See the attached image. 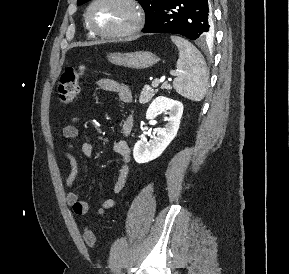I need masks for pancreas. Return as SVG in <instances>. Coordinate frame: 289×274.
Masks as SVG:
<instances>
[{"mask_svg": "<svg viewBox=\"0 0 289 274\" xmlns=\"http://www.w3.org/2000/svg\"><path fill=\"white\" fill-rule=\"evenodd\" d=\"M161 89H171V86L168 83H164L161 86ZM154 95H155L154 89L149 85H145L140 93L139 102L141 104H146L152 99Z\"/></svg>", "mask_w": 289, "mask_h": 274, "instance_id": "obj_1", "label": "pancreas"}]
</instances>
